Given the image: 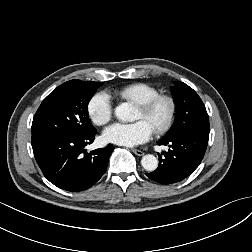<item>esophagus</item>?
<instances>
[{
    "mask_svg": "<svg viewBox=\"0 0 252 252\" xmlns=\"http://www.w3.org/2000/svg\"><path fill=\"white\" fill-rule=\"evenodd\" d=\"M132 152L137 156H143L144 152L138 149H132Z\"/></svg>",
    "mask_w": 252,
    "mask_h": 252,
    "instance_id": "obj_1",
    "label": "esophagus"
}]
</instances>
